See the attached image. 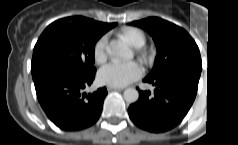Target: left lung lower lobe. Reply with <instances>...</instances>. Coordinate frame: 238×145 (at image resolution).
Wrapping results in <instances>:
<instances>
[{"label": "left lung lower lobe", "mask_w": 238, "mask_h": 145, "mask_svg": "<svg viewBox=\"0 0 238 145\" xmlns=\"http://www.w3.org/2000/svg\"><path fill=\"white\" fill-rule=\"evenodd\" d=\"M201 71H183L156 78H145L156 86L155 94L141 91L136 103L130 105L131 120L141 129L165 132L185 118L197 94Z\"/></svg>", "instance_id": "left-lung-lower-lobe-1"}]
</instances>
